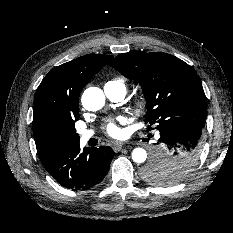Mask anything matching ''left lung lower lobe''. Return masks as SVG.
Returning <instances> with one entry per match:
<instances>
[{
  "mask_svg": "<svg viewBox=\"0 0 233 233\" xmlns=\"http://www.w3.org/2000/svg\"><path fill=\"white\" fill-rule=\"evenodd\" d=\"M204 126L205 122L177 121L158 129L160 138L155 144L159 147L152 161L171 166L181 158L198 161Z\"/></svg>",
  "mask_w": 233,
  "mask_h": 233,
  "instance_id": "left-lung-lower-lobe-1",
  "label": "left lung lower lobe"
}]
</instances>
